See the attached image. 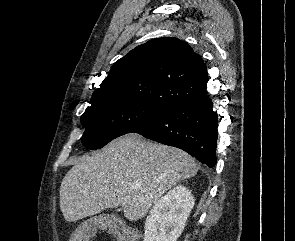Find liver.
<instances>
[{
    "label": "liver",
    "instance_id": "6515ba94",
    "mask_svg": "<svg viewBox=\"0 0 295 241\" xmlns=\"http://www.w3.org/2000/svg\"><path fill=\"white\" fill-rule=\"evenodd\" d=\"M196 173L186 152L126 135L75 163L61 183L60 209L74 222L122 206L124 216L137 221L166 191Z\"/></svg>",
    "mask_w": 295,
    "mask_h": 241
}]
</instances>
